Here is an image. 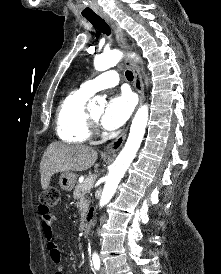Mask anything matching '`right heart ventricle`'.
Returning <instances> with one entry per match:
<instances>
[{
    "instance_id": "e07e8e85",
    "label": "right heart ventricle",
    "mask_w": 221,
    "mask_h": 274,
    "mask_svg": "<svg viewBox=\"0 0 221 274\" xmlns=\"http://www.w3.org/2000/svg\"><path fill=\"white\" fill-rule=\"evenodd\" d=\"M91 94L83 89L68 93L60 102L56 114V132L67 143L81 144L91 135V124L86 103Z\"/></svg>"
}]
</instances>
